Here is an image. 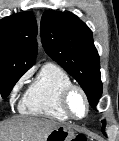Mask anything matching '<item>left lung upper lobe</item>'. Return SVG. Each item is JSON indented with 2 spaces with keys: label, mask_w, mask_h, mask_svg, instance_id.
<instances>
[{
  "label": "left lung upper lobe",
  "mask_w": 119,
  "mask_h": 141,
  "mask_svg": "<svg viewBox=\"0 0 119 141\" xmlns=\"http://www.w3.org/2000/svg\"><path fill=\"white\" fill-rule=\"evenodd\" d=\"M40 28L46 53L77 80L95 108L102 83L91 30L74 14L52 10L44 12Z\"/></svg>",
  "instance_id": "1"
}]
</instances>
